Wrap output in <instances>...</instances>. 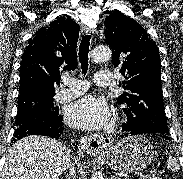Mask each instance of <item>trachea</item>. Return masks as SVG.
Segmentation results:
<instances>
[{
	"mask_svg": "<svg viewBox=\"0 0 183 179\" xmlns=\"http://www.w3.org/2000/svg\"><path fill=\"white\" fill-rule=\"evenodd\" d=\"M91 35H84L82 37L80 46H79V61L81 63L82 73L85 75L88 70V52L90 45Z\"/></svg>",
	"mask_w": 183,
	"mask_h": 179,
	"instance_id": "1",
	"label": "trachea"
}]
</instances>
